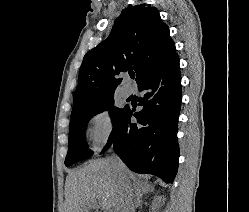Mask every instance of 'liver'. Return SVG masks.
<instances>
[{
	"label": "liver",
	"instance_id": "liver-1",
	"mask_svg": "<svg viewBox=\"0 0 249 212\" xmlns=\"http://www.w3.org/2000/svg\"><path fill=\"white\" fill-rule=\"evenodd\" d=\"M117 170L125 172L129 184L134 182L139 192H150L151 186L139 182L137 174L126 166L113 168L107 160H92L80 170H71L66 178L67 212H89L92 202H97L107 212H120V200L117 188Z\"/></svg>",
	"mask_w": 249,
	"mask_h": 212
}]
</instances>
